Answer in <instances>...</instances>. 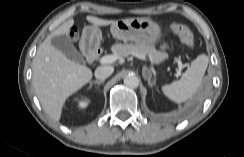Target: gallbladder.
I'll use <instances>...</instances> for the list:
<instances>
[{
    "instance_id": "gallbladder-1",
    "label": "gallbladder",
    "mask_w": 244,
    "mask_h": 157,
    "mask_svg": "<svg viewBox=\"0 0 244 157\" xmlns=\"http://www.w3.org/2000/svg\"><path fill=\"white\" fill-rule=\"evenodd\" d=\"M52 45L61 51L67 58L78 62L83 63L84 58L80 52L76 50V48L73 46L71 41L62 35L54 36L51 40Z\"/></svg>"
}]
</instances>
